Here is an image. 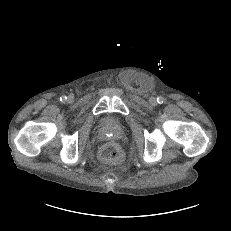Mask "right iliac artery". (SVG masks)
<instances>
[{"instance_id": "obj_1", "label": "right iliac artery", "mask_w": 231, "mask_h": 231, "mask_svg": "<svg viewBox=\"0 0 231 231\" xmlns=\"http://www.w3.org/2000/svg\"><path fill=\"white\" fill-rule=\"evenodd\" d=\"M66 99H67V97H66V96H64V95H62V96L60 97V101H61V102H65V101H66Z\"/></svg>"}]
</instances>
